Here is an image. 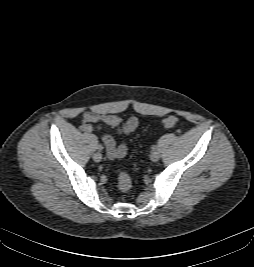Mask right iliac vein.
<instances>
[{"instance_id":"1","label":"right iliac vein","mask_w":254,"mask_h":267,"mask_svg":"<svg viewBox=\"0 0 254 267\" xmlns=\"http://www.w3.org/2000/svg\"><path fill=\"white\" fill-rule=\"evenodd\" d=\"M93 159L95 162H100L101 159H102V155L100 152H96L94 155H93Z\"/></svg>"}]
</instances>
